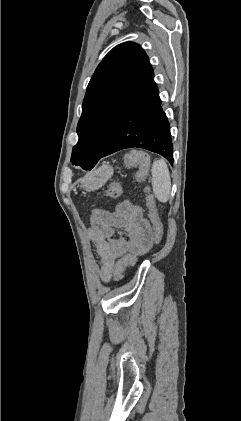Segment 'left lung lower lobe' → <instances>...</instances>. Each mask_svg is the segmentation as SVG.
<instances>
[{
  "instance_id": "left-lung-lower-lobe-1",
  "label": "left lung lower lobe",
  "mask_w": 241,
  "mask_h": 421,
  "mask_svg": "<svg viewBox=\"0 0 241 421\" xmlns=\"http://www.w3.org/2000/svg\"><path fill=\"white\" fill-rule=\"evenodd\" d=\"M153 76V69L148 64L106 150L96 161L84 164L82 168L91 170L102 157L132 147L158 153L173 164L170 126Z\"/></svg>"
}]
</instances>
